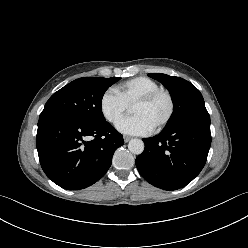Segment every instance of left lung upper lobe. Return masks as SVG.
Returning a JSON list of instances; mask_svg holds the SVG:
<instances>
[{"instance_id": "5c2ea615", "label": "left lung upper lobe", "mask_w": 248, "mask_h": 248, "mask_svg": "<svg viewBox=\"0 0 248 248\" xmlns=\"http://www.w3.org/2000/svg\"><path fill=\"white\" fill-rule=\"evenodd\" d=\"M161 82L170 92L173 113L163 130L170 129L195 116L208 114L200 91L190 82L166 74H148Z\"/></svg>"}]
</instances>
